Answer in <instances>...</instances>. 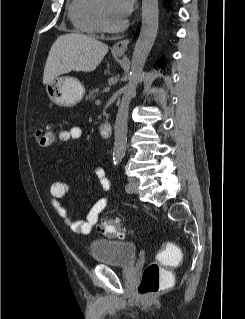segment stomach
Masks as SVG:
<instances>
[{"instance_id":"0dacf381","label":"stomach","mask_w":245,"mask_h":319,"mask_svg":"<svg viewBox=\"0 0 245 319\" xmlns=\"http://www.w3.org/2000/svg\"><path fill=\"white\" fill-rule=\"evenodd\" d=\"M46 92L54 104L60 107H73L82 100L85 88L77 78L64 76L49 81L46 84Z\"/></svg>"}]
</instances>
